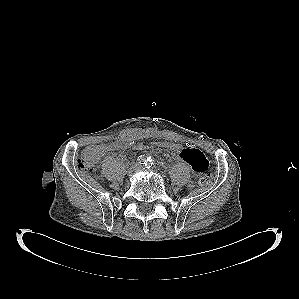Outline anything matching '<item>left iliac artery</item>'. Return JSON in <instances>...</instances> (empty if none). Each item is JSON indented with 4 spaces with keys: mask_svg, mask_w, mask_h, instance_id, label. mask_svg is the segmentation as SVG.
I'll use <instances>...</instances> for the list:
<instances>
[{
    "mask_svg": "<svg viewBox=\"0 0 299 299\" xmlns=\"http://www.w3.org/2000/svg\"><path fill=\"white\" fill-rule=\"evenodd\" d=\"M153 164H154L153 160L149 158L145 166H146V168H151L153 166Z\"/></svg>",
    "mask_w": 299,
    "mask_h": 299,
    "instance_id": "44dca946",
    "label": "left iliac artery"
}]
</instances>
